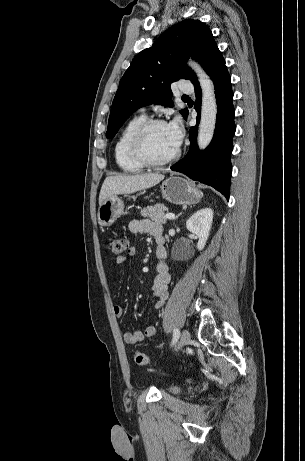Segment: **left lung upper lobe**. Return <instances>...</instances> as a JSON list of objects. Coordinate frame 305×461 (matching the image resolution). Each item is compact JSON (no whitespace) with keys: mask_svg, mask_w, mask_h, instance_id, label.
Segmentation results:
<instances>
[{"mask_svg":"<svg viewBox=\"0 0 305 461\" xmlns=\"http://www.w3.org/2000/svg\"><path fill=\"white\" fill-rule=\"evenodd\" d=\"M220 53L210 29L199 20H183L163 33L152 47L141 51L120 80L112 103L107 138L140 107L160 104L173 107L172 82L181 78L197 82L185 61L191 57L207 71ZM185 117L187 109L181 110Z\"/></svg>","mask_w":305,"mask_h":461,"instance_id":"obj_1","label":"left lung upper lobe"}]
</instances>
